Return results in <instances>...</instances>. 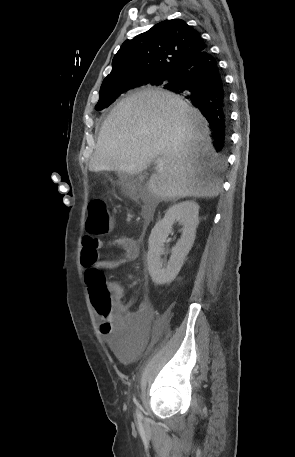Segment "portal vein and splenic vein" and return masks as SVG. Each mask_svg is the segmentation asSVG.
I'll return each mask as SVG.
<instances>
[{
	"label": "portal vein and splenic vein",
	"instance_id": "18ae733b",
	"mask_svg": "<svg viewBox=\"0 0 295 457\" xmlns=\"http://www.w3.org/2000/svg\"><path fill=\"white\" fill-rule=\"evenodd\" d=\"M156 163L158 167H163L164 165V161L162 158H157Z\"/></svg>",
	"mask_w": 295,
	"mask_h": 457
}]
</instances>
